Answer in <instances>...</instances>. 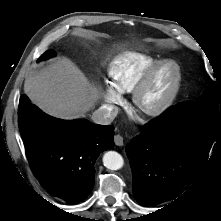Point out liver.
Segmentation results:
<instances>
[{"instance_id":"liver-1","label":"liver","mask_w":221,"mask_h":221,"mask_svg":"<svg viewBox=\"0 0 221 221\" xmlns=\"http://www.w3.org/2000/svg\"><path fill=\"white\" fill-rule=\"evenodd\" d=\"M24 91L45 113L66 120L84 116L100 98L99 90L67 58L27 77Z\"/></svg>"}]
</instances>
